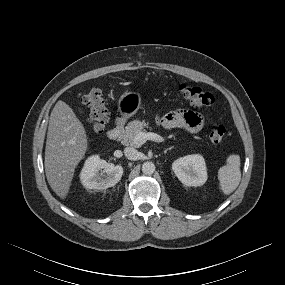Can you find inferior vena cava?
Wrapping results in <instances>:
<instances>
[{
  "label": "inferior vena cava",
  "instance_id": "1",
  "mask_svg": "<svg viewBox=\"0 0 285 285\" xmlns=\"http://www.w3.org/2000/svg\"><path fill=\"white\" fill-rule=\"evenodd\" d=\"M124 155L129 160H137L139 152L135 148L126 147L124 149Z\"/></svg>",
  "mask_w": 285,
  "mask_h": 285
}]
</instances>
